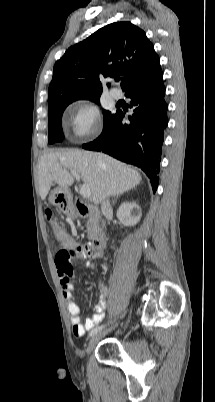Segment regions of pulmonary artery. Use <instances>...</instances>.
<instances>
[{"label":"pulmonary artery","mask_w":215,"mask_h":402,"mask_svg":"<svg viewBox=\"0 0 215 402\" xmlns=\"http://www.w3.org/2000/svg\"><path fill=\"white\" fill-rule=\"evenodd\" d=\"M110 95L112 96V98L116 99V100H120L123 97V93L121 90L113 88L110 91Z\"/></svg>","instance_id":"pulmonary-artery-1"}]
</instances>
